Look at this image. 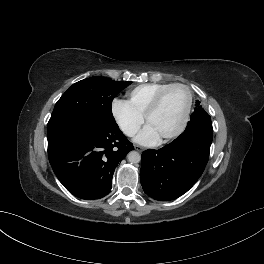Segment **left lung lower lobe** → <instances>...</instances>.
<instances>
[{"instance_id":"obj_1","label":"left lung lower lobe","mask_w":264,"mask_h":264,"mask_svg":"<svg viewBox=\"0 0 264 264\" xmlns=\"http://www.w3.org/2000/svg\"><path fill=\"white\" fill-rule=\"evenodd\" d=\"M210 116L196 104L185 131L159 150L142 153L141 185L151 198L173 200L199 179L208 162L212 143Z\"/></svg>"}]
</instances>
